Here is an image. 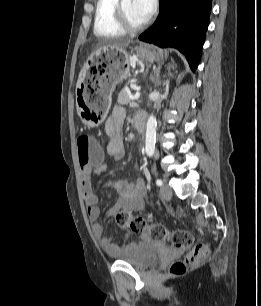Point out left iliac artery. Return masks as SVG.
I'll use <instances>...</instances> for the list:
<instances>
[{
	"label": "left iliac artery",
	"instance_id": "44dca946",
	"mask_svg": "<svg viewBox=\"0 0 261 306\" xmlns=\"http://www.w3.org/2000/svg\"><path fill=\"white\" fill-rule=\"evenodd\" d=\"M156 184H157L158 186H162V185H163V182H162L161 179H157V180H156Z\"/></svg>",
	"mask_w": 261,
	"mask_h": 306
}]
</instances>
